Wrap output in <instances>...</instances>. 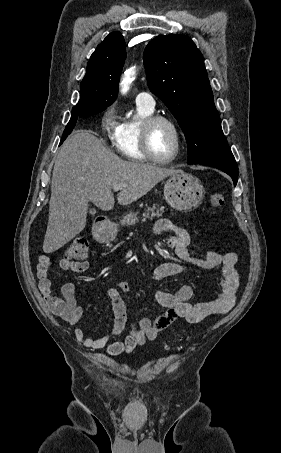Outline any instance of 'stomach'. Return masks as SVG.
<instances>
[{"label": "stomach", "mask_w": 281, "mask_h": 453, "mask_svg": "<svg viewBox=\"0 0 281 453\" xmlns=\"http://www.w3.org/2000/svg\"><path fill=\"white\" fill-rule=\"evenodd\" d=\"M204 186L197 178L190 172H177L171 174L164 184V196L166 202L175 208V210H183L188 212L191 208H196L204 198ZM137 220L136 214L130 212L124 216L123 224H135ZM117 235V224L110 222L107 227H100L97 229V237L102 243H110Z\"/></svg>", "instance_id": "stomach-1"}]
</instances>
